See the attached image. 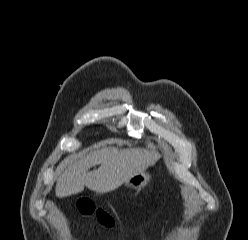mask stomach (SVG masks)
<instances>
[{
    "instance_id": "obj_1",
    "label": "stomach",
    "mask_w": 248,
    "mask_h": 240,
    "mask_svg": "<svg viewBox=\"0 0 248 240\" xmlns=\"http://www.w3.org/2000/svg\"><path fill=\"white\" fill-rule=\"evenodd\" d=\"M150 179L151 175L148 172L143 171L132 176L126 181L125 185L130 189H141L150 182Z\"/></svg>"
}]
</instances>
